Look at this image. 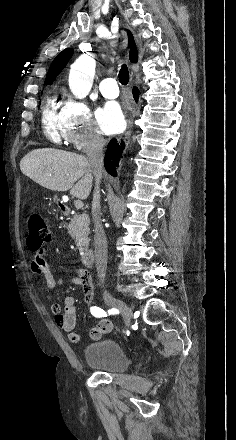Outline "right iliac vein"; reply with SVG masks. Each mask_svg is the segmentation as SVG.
<instances>
[{"label": "right iliac vein", "mask_w": 236, "mask_h": 440, "mask_svg": "<svg viewBox=\"0 0 236 440\" xmlns=\"http://www.w3.org/2000/svg\"><path fill=\"white\" fill-rule=\"evenodd\" d=\"M103 299L108 306H112L121 312L125 321V325L129 326L132 318V311L129 308V306L125 302L116 299L110 293L107 292L103 294Z\"/></svg>", "instance_id": "1"}]
</instances>
